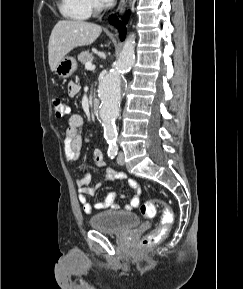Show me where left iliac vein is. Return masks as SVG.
Here are the masks:
<instances>
[{"label":"left iliac vein","instance_id":"left-iliac-vein-1","mask_svg":"<svg viewBox=\"0 0 243 289\" xmlns=\"http://www.w3.org/2000/svg\"><path fill=\"white\" fill-rule=\"evenodd\" d=\"M117 162L119 165H123L124 164V153L120 152L118 157H117Z\"/></svg>","mask_w":243,"mask_h":289}]
</instances>
